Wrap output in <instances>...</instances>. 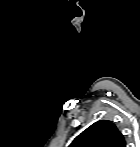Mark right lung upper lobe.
Wrapping results in <instances>:
<instances>
[{
	"label": "right lung upper lobe",
	"instance_id": "right-lung-upper-lobe-1",
	"mask_svg": "<svg viewBox=\"0 0 140 147\" xmlns=\"http://www.w3.org/2000/svg\"><path fill=\"white\" fill-rule=\"evenodd\" d=\"M70 147H126V142L114 123L100 120L77 136Z\"/></svg>",
	"mask_w": 140,
	"mask_h": 147
}]
</instances>
